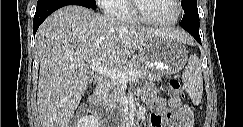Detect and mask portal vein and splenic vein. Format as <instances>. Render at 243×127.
Masks as SVG:
<instances>
[{"label": "portal vein and splenic vein", "mask_w": 243, "mask_h": 127, "mask_svg": "<svg viewBox=\"0 0 243 127\" xmlns=\"http://www.w3.org/2000/svg\"><path fill=\"white\" fill-rule=\"evenodd\" d=\"M85 68H90L92 71L106 76L112 80L118 81L120 83H126L129 81H134L136 79L137 73L135 70H131L128 75L125 72L116 69V68H108L103 65L99 60L93 59L89 64L83 65Z\"/></svg>", "instance_id": "obj_1"}]
</instances>
